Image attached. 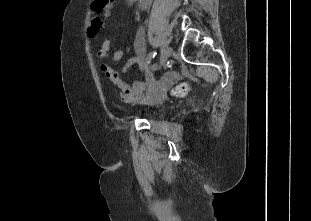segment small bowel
<instances>
[{"label":"small bowel","mask_w":311,"mask_h":221,"mask_svg":"<svg viewBox=\"0 0 311 221\" xmlns=\"http://www.w3.org/2000/svg\"><path fill=\"white\" fill-rule=\"evenodd\" d=\"M99 46H111V41L105 39ZM134 49L136 55L130 58L121 69H115L109 66L106 60L109 53H97L98 67L105 77L115 82L120 90L121 98L125 103H134L141 100L151 99L158 95L165 86L164 81H134L126 83L121 80V75L128 72L132 67H136L145 60V33L143 29H139L134 41ZM122 48L117 49L112 55L113 62H119L123 57Z\"/></svg>","instance_id":"small-bowel-1"}]
</instances>
